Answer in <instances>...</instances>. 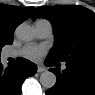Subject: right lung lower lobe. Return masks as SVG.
Segmentation results:
<instances>
[{"instance_id":"98d812e1","label":"right lung lower lobe","mask_w":95,"mask_h":95,"mask_svg":"<svg viewBox=\"0 0 95 95\" xmlns=\"http://www.w3.org/2000/svg\"><path fill=\"white\" fill-rule=\"evenodd\" d=\"M37 71L34 63L20 58L12 68L2 69L0 63V95H20L24 80Z\"/></svg>"}]
</instances>
